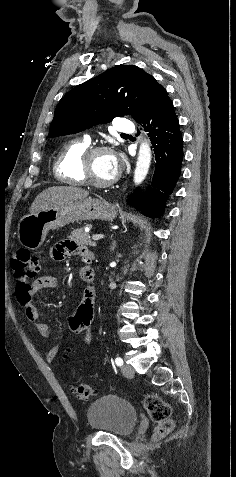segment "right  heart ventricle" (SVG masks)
Returning <instances> with one entry per match:
<instances>
[{"mask_svg": "<svg viewBox=\"0 0 236 477\" xmlns=\"http://www.w3.org/2000/svg\"><path fill=\"white\" fill-rule=\"evenodd\" d=\"M88 148L89 144L82 140H72L63 146L53 165L55 177L60 182L69 185L84 184L80 162Z\"/></svg>", "mask_w": 236, "mask_h": 477, "instance_id": "1", "label": "right heart ventricle"}]
</instances>
